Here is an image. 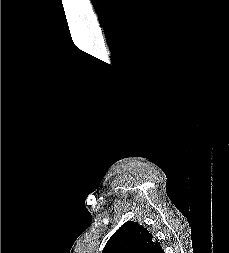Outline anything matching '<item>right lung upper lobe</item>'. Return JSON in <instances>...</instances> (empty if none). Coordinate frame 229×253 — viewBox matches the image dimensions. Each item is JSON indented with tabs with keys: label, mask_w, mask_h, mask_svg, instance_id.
<instances>
[{
	"label": "right lung upper lobe",
	"mask_w": 229,
	"mask_h": 253,
	"mask_svg": "<svg viewBox=\"0 0 229 253\" xmlns=\"http://www.w3.org/2000/svg\"><path fill=\"white\" fill-rule=\"evenodd\" d=\"M102 253H164L160 243L137 222L124 223L108 240Z\"/></svg>",
	"instance_id": "right-lung-upper-lobe-1"
}]
</instances>
